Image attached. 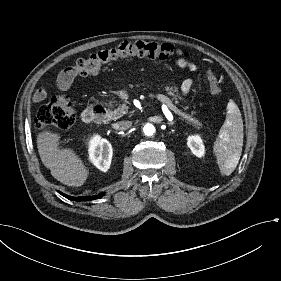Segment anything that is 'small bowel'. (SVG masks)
<instances>
[{
	"label": "small bowel",
	"instance_id": "obj_1",
	"mask_svg": "<svg viewBox=\"0 0 281 281\" xmlns=\"http://www.w3.org/2000/svg\"><path fill=\"white\" fill-rule=\"evenodd\" d=\"M177 64L178 66L184 69H188L191 71L197 70V66L194 63L184 59L179 60ZM76 75L77 74L75 73L74 67H68L64 69L58 76L57 82L59 89L61 91H67L70 88L72 82L74 81ZM192 85L193 82L190 79L185 80L181 85L182 94L187 95L191 90ZM35 94L38 102L42 103L48 100L49 96L45 87H38Z\"/></svg>",
	"mask_w": 281,
	"mask_h": 281
}]
</instances>
